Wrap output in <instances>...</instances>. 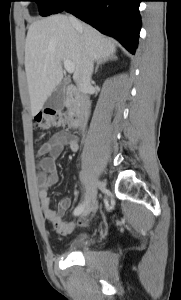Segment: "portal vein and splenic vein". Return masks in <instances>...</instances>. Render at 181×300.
Wrapping results in <instances>:
<instances>
[{
    "label": "portal vein and splenic vein",
    "mask_w": 181,
    "mask_h": 300,
    "mask_svg": "<svg viewBox=\"0 0 181 300\" xmlns=\"http://www.w3.org/2000/svg\"><path fill=\"white\" fill-rule=\"evenodd\" d=\"M63 63H64V68L66 69V71L68 73H73L75 70L74 64L68 60V59H63Z\"/></svg>",
    "instance_id": "18ae733b"
}]
</instances>
